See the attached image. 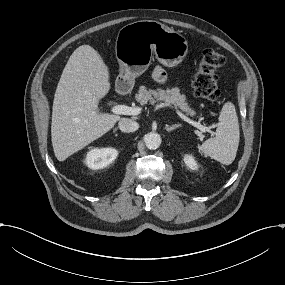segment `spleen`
<instances>
[{"mask_svg": "<svg viewBox=\"0 0 285 285\" xmlns=\"http://www.w3.org/2000/svg\"><path fill=\"white\" fill-rule=\"evenodd\" d=\"M239 124L235 105L232 101L223 104L216 136L197 146L202 157L213 159L222 165H230L236 157L239 145Z\"/></svg>", "mask_w": 285, "mask_h": 285, "instance_id": "3e777b00", "label": "spleen"}]
</instances>
